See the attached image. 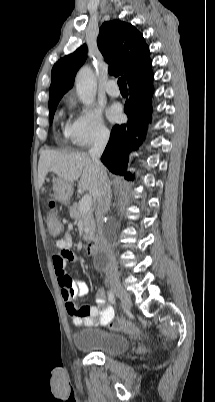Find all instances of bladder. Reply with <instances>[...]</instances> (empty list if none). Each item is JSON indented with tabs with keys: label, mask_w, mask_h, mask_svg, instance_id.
Returning a JSON list of instances; mask_svg holds the SVG:
<instances>
[{
	"label": "bladder",
	"mask_w": 215,
	"mask_h": 402,
	"mask_svg": "<svg viewBox=\"0 0 215 402\" xmlns=\"http://www.w3.org/2000/svg\"><path fill=\"white\" fill-rule=\"evenodd\" d=\"M75 347L82 352L117 356L126 352L130 341L122 334L101 329H87L73 336Z\"/></svg>",
	"instance_id": "bladder-1"
}]
</instances>
